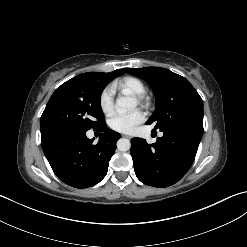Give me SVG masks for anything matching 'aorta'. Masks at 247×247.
I'll list each match as a JSON object with an SVG mask.
<instances>
[{"label": "aorta", "instance_id": "obj_1", "mask_svg": "<svg viewBox=\"0 0 247 247\" xmlns=\"http://www.w3.org/2000/svg\"><path fill=\"white\" fill-rule=\"evenodd\" d=\"M136 106V101L130 97H119L116 100V108L119 113L129 111ZM117 148L120 151H128L131 148V142L127 138H120L117 141Z\"/></svg>", "mask_w": 247, "mask_h": 247}]
</instances>
